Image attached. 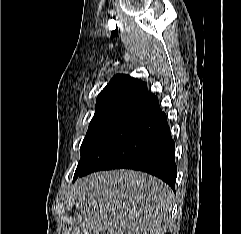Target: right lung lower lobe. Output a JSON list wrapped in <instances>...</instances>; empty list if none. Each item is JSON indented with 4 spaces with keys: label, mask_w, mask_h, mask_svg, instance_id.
<instances>
[{
    "label": "right lung lower lobe",
    "mask_w": 241,
    "mask_h": 234,
    "mask_svg": "<svg viewBox=\"0 0 241 234\" xmlns=\"http://www.w3.org/2000/svg\"><path fill=\"white\" fill-rule=\"evenodd\" d=\"M174 152L166 114L152 95L101 142L74 180L100 170L134 169L157 176L175 190Z\"/></svg>",
    "instance_id": "98d812e1"
}]
</instances>
